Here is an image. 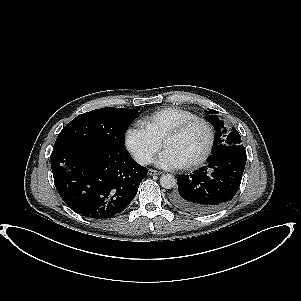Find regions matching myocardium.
I'll use <instances>...</instances> for the list:
<instances>
[{"instance_id": "1", "label": "myocardium", "mask_w": 301, "mask_h": 301, "mask_svg": "<svg viewBox=\"0 0 301 301\" xmlns=\"http://www.w3.org/2000/svg\"><path fill=\"white\" fill-rule=\"evenodd\" d=\"M195 123H200V124L204 125V127L207 131V142H206L205 148L202 151V153L199 156H197L196 158H194L193 160L189 161L186 165L187 167H195L197 165H200L209 157L212 147H213V143H214V131H213V127H212L211 123L209 121H207L206 119L200 118V117H194V118L188 119V120L176 125L174 128L170 129L165 134V136L163 137V140H162V145L165 148V145L169 139H171L177 135H180L189 126H191L192 124H195Z\"/></svg>"}]
</instances>
